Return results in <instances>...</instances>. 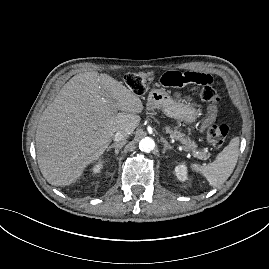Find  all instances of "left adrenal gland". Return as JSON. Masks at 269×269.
<instances>
[{"label": "left adrenal gland", "mask_w": 269, "mask_h": 269, "mask_svg": "<svg viewBox=\"0 0 269 269\" xmlns=\"http://www.w3.org/2000/svg\"><path fill=\"white\" fill-rule=\"evenodd\" d=\"M161 142H162L163 145H164L163 154H165V152H166L167 150H172V149H173L172 146H170V145L168 144V142H167L164 138H161Z\"/></svg>", "instance_id": "left-adrenal-gland-1"}]
</instances>
